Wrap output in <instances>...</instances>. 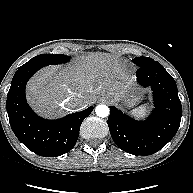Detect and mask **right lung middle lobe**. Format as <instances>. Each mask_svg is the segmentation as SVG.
<instances>
[{"instance_id": "1", "label": "right lung middle lobe", "mask_w": 193, "mask_h": 193, "mask_svg": "<svg viewBox=\"0 0 193 193\" xmlns=\"http://www.w3.org/2000/svg\"><path fill=\"white\" fill-rule=\"evenodd\" d=\"M69 60V57L66 55H60V54H41L38 55L31 60H29L27 65H57V64H62L65 63Z\"/></svg>"}]
</instances>
